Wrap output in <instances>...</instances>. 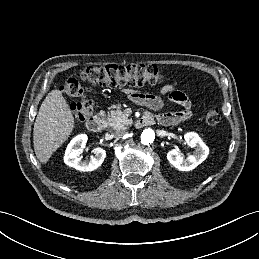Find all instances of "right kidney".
I'll return each mask as SVG.
<instances>
[{
    "instance_id": "obj_1",
    "label": "right kidney",
    "mask_w": 259,
    "mask_h": 259,
    "mask_svg": "<svg viewBox=\"0 0 259 259\" xmlns=\"http://www.w3.org/2000/svg\"><path fill=\"white\" fill-rule=\"evenodd\" d=\"M87 139L86 134H79L70 141L64 156L66 165L79 171H93L101 166L106 157V151L100 147H96L92 150L95 156L91 157L89 162L82 161L80 154L86 146Z\"/></svg>"
}]
</instances>
